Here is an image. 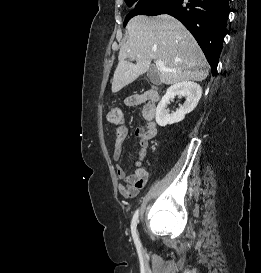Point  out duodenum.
I'll list each match as a JSON object with an SVG mask.
<instances>
[{"instance_id": "1", "label": "duodenum", "mask_w": 261, "mask_h": 273, "mask_svg": "<svg viewBox=\"0 0 261 273\" xmlns=\"http://www.w3.org/2000/svg\"><path fill=\"white\" fill-rule=\"evenodd\" d=\"M150 98L153 102H156L159 98V90L157 88H153L150 90Z\"/></svg>"}]
</instances>
